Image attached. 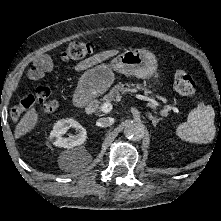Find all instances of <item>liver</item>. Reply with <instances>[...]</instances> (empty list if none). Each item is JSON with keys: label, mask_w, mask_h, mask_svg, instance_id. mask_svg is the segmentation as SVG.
Returning a JSON list of instances; mask_svg holds the SVG:
<instances>
[{"label": "liver", "mask_w": 221, "mask_h": 221, "mask_svg": "<svg viewBox=\"0 0 221 221\" xmlns=\"http://www.w3.org/2000/svg\"><path fill=\"white\" fill-rule=\"evenodd\" d=\"M118 50H107L100 53H97L81 62H79L74 69L76 71H82L92 67L95 64L101 63L110 57L118 54ZM39 115L36 112L35 108H31L19 121L15 128L14 136L16 139L21 136L29 133L32 129H34L38 123Z\"/></svg>", "instance_id": "obj_1"}]
</instances>
